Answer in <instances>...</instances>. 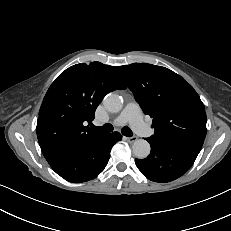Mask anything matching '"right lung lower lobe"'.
I'll use <instances>...</instances> for the list:
<instances>
[{
  "label": "right lung lower lobe",
  "mask_w": 231,
  "mask_h": 231,
  "mask_svg": "<svg viewBox=\"0 0 231 231\" xmlns=\"http://www.w3.org/2000/svg\"><path fill=\"white\" fill-rule=\"evenodd\" d=\"M121 139L122 136L118 132L104 134L86 149L50 163V166L69 182L92 180L106 167L111 148Z\"/></svg>",
  "instance_id": "obj_1"
}]
</instances>
